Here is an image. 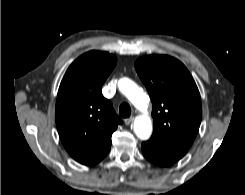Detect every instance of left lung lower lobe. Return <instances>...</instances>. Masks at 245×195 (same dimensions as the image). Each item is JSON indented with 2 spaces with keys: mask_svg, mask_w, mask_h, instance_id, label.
<instances>
[{
  "mask_svg": "<svg viewBox=\"0 0 245 195\" xmlns=\"http://www.w3.org/2000/svg\"><path fill=\"white\" fill-rule=\"evenodd\" d=\"M190 147L163 140L152 135L150 140L142 143V153L150 162L167 167L180 160Z\"/></svg>",
  "mask_w": 245,
  "mask_h": 195,
  "instance_id": "1",
  "label": "left lung lower lobe"
}]
</instances>
